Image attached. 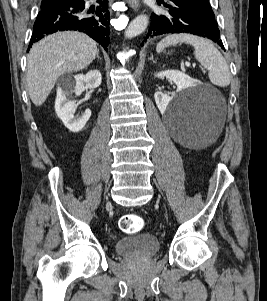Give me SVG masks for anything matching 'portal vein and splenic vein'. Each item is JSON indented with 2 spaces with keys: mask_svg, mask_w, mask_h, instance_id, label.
<instances>
[{
  "mask_svg": "<svg viewBox=\"0 0 267 301\" xmlns=\"http://www.w3.org/2000/svg\"><path fill=\"white\" fill-rule=\"evenodd\" d=\"M186 65H190V64L186 62Z\"/></svg>",
  "mask_w": 267,
  "mask_h": 301,
  "instance_id": "1",
  "label": "portal vein and splenic vein"
}]
</instances>
